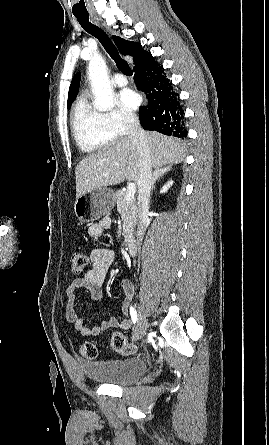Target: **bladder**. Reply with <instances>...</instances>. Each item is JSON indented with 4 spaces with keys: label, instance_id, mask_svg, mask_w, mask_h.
<instances>
[{
    "label": "bladder",
    "instance_id": "obj_1",
    "mask_svg": "<svg viewBox=\"0 0 269 445\" xmlns=\"http://www.w3.org/2000/svg\"><path fill=\"white\" fill-rule=\"evenodd\" d=\"M79 365L88 380L120 386L137 382L147 371L141 359L81 361Z\"/></svg>",
    "mask_w": 269,
    "mask_h": 445
}]
</instances>
